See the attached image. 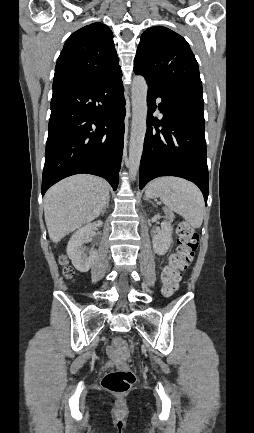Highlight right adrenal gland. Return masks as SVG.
Wrapping results in <instances>:
<instances>
[{
  "label": "right adrenal gland",
  "mask_w": 254,
  "mask_h": 433,
  "mask_svg": "<svg viewBox=\"0 0 254 433\" xmlns=\"http://www.w3.org/2000/svg\"><path fill=\"white\" fill-rule=\"evenodd\" d=\"M109 202H110V196L107 198V202H106V204H105V206L101 212L102 215L105 213L106 208H109Z\"/></svg>",
  "instance_id": "1"
}]
</instances>
